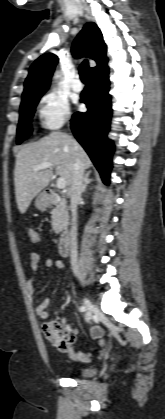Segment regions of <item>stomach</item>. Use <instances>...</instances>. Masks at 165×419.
<instances>
[{
    "label": "stomach",
    "instance_id": "obj_1",
    "mask_svg": "<svg viewBox=\"0 0 165 419\" xmlns=\"http://www.w3.org/2000/svg\"><path fill=\"white\" fill-rule=\"evenodd\" d=\"M46 205H47V202H46V201H44V200L42 199V197H41V196H39V197L36 199V201H35V206H36L39 210H43V209H45Z\"/></svg>",
    "mask_w": 165,
    "mask_h": 419
}]
</instances>
